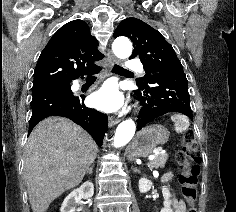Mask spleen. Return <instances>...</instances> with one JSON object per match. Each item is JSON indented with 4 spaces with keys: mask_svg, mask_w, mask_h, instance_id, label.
Instances as JSON below:
<instances>
[{
    "mask_svg": "<svg viewBox=\"0 0 236 212\" xmlns=\"http://www.w3.org/2000/svg\"><path fill=\"white\" fill-rule=\"evenodd\" d=\"M171 120L175 123V129L178 133H182L189 128V119L182 114H174L171 116Z\"/></svg>",
    "mask_w": 236,
    "mask_h": 212,
    "instance_id": "spleen-1",
    "label": "spleen"
}]
</instances>
